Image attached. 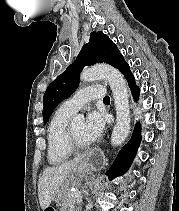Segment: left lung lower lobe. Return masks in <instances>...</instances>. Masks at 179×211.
<instances>
[{
  "instance_id": "obj_1",
  "label": "left lung lower lobe",
  "mask_w": 179,
  "mask_h": 211,
  "mask_svg": "<svg viewBox=\"0 0 179 211\" xmlns=\"http://www.w3.org/2000/svg\"><path fill=\"white\" fill-rule=\"evenodd\" d=\"M117 68L124 74L125 78L128 81L133 96L137 98L139 94V88L136 86L134 76L132 75L129 65L126 63L124 58L117 64ZM140 140V126L137 125L135 127L131 139L121 149L114 164L112 165L110 170L107 171L106 174L108 175L109 179H113L116 176H120L127 171L134 155L136 154Z\"/></svg>"
}]
</instances>
